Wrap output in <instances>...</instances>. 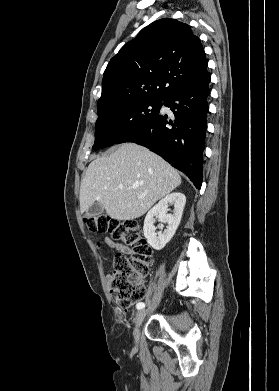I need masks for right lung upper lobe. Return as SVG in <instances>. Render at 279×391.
<instances>
[{"instance_id": "cb5924a9", "label": "right lung upper lobe", "mask_w": 279, "mask_h": 391, "mask_svg": "<svg viewBox=\"0 0 279 391\" xmlns=\"http://www.w3.org/2000/svg\"><path fill=\"white\" fill-rule=\"evenodd\" d=\"M207 60L190 26L160 19L140 31L110 60L98 114L137 100L164 101L206 72Z\"/></svg>"}]
</instances>
